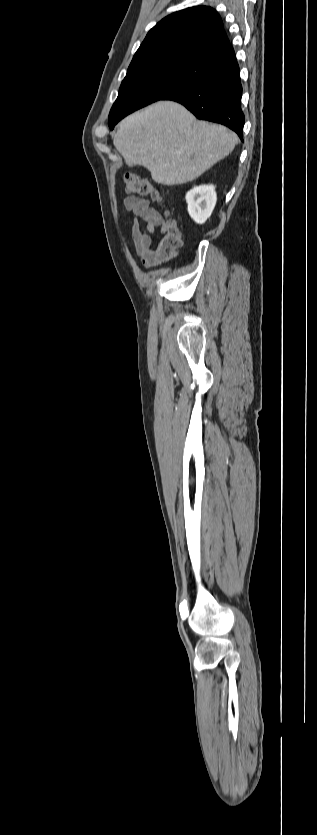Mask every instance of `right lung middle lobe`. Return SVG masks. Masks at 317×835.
<instances>
[{
    "mask_svg": "<svg viewBox=\"0 0 317 835\" xmlns=\"http://www.w3.org/2000/svg\"><path fill=\"white\" fill-rule=\"evenodd\" d=\"M206 73L192 57L149 66L126 75L109 114V127L126 115L198 83Z\"/></svg>",
    "mask_w": 317,
    "mask_h": 835,
    "instance_id": "dd1d6c3e",
    "label": "right lung middle lobe"
}]
</instances>
